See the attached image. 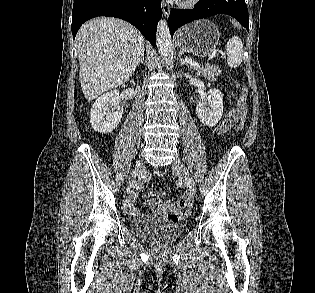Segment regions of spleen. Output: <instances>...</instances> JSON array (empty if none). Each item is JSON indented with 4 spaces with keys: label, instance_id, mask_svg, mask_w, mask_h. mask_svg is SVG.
<instances>
[{
    "label": "spleen",
    "instance_id": "spleen-1",
    "mask_svg": "<svg viewBox=\"0 0 315 293\" xmlns=\"http://www.w3.org/2000/svg\"><path fill=\"white\" fill-rule=\"evenodd\" d=\"M227 64L230 68H237L243 59V43L241 39L234 36L226 44Z\"/></svg>",
    "mask_w": 315,
    "mask_h": 293
}]
</instances>
